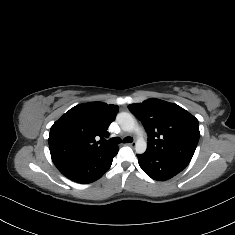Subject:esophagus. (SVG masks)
Returning <instances> with one entry per match:
<instances>
[{"instance_id":"1","label":"esophagus","mask_w":235,"mask_h":235,"mask_svg":"<svg viewBox=\"0 0 235 235\" xmlns=\"http://www.w3.org/2000/svg\"><path fill=\"white\" fill-rule=\"evenodd\" d=\"M125 145H128V146H130V147H134V146L136 145V143H135V142H131V143H127V144H125Z\"/></svg>"}]
</instances>
